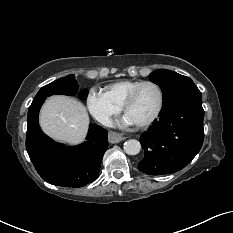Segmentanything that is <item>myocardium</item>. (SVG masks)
Masks as SVG:
<instances>
[{"mask_svg": "<svg viewBox=\"0 0 233 233\" xmlns=\"http://www.w3.org/2000/svg\"><path fill=\"white\" fill-rule=\"evenodd\" d=\"M146 85H152L157 89L158 95H159V100H158V105H157L155 111L153 112V114L149 118H147L146 120L136 123L139 127H147V126L151 125L160 115L161 110L163 108V104H164V94H163V91H162V88L160 87V85L154 81H143L139 85H137L128 94V96L126 97V99L124 100L123 105H122L123 111L125 113H127L129 106L135 101L141 88L146 86Z\"/></svg>", "mask_w": 233, "mask_h": 233, "instance_id": "1", "label": "myocardium"}]
</instances>
